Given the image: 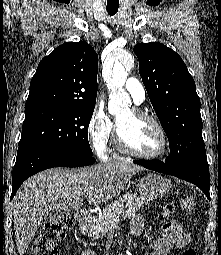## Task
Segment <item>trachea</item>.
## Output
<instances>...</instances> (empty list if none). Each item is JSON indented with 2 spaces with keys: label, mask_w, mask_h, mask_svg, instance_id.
Segmentation results:
<instances>
[{
  "label": "trachea",
  "mask_w": 221,
  "mask_h": 255,
  "mask_svg": "<svg viewBox=\"0 0 221 255\" xmlns=\"http://www.w3.org/2000/svg\"><path fill=\"white\" fill-rule=\"evenodd\" d=\"M118 9H111V8H107V12L113 16L117 13Z\"/></svg>",
  "instance_id": "trachea-1"
}]
</instances>
